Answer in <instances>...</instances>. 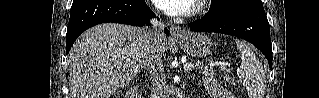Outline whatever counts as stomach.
<instances>
[{
    "mask_svg": "<svg viewBox=\"0 0 319 98\" xmlns=\"http://www.w3.org/2000/svg\"><path fill=\"white\" fill-rule=\"evenodd\" d=\"M178 45L186 54L202 58L209 54L211 41L205 35L187 33L178 40Z\"/></svg>",
    "mask_w": 319,
    "mask_h": 98,
    "instance_id": "0dacf381",
    "label": "stomach"
}]
</instances>
